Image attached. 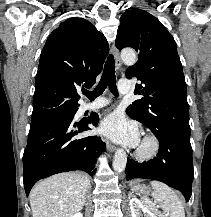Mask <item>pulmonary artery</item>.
<instances>
[{"label":"pulmonary artery","instance_id":"pulmonary-artery-1","mask_svg":"<svg viewBox=\"0 0 211 217\" xmlns=\"http://www.w3.org/2000/svg\"><path fill=\"white\" fill-rule=\"evenodd\" d=\"M118 90L121 94H128L131 91V82L128 79H120L118 82ZM107 100H103L101 98L95 100L92 103H85L81 106V110L85 111H93L102 108L107 104Z\"/></svg>","mask_w":211,"mask_h":217}]
</instances>
